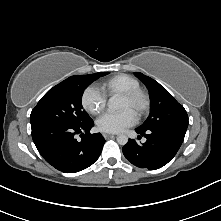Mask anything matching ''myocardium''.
<instances>
[{
  "label": "myocardium",
  "instance_id": "f54148a6",
  "mask_svg": "<svg viewBox=\"0 0 221 221\" xmlns=\"http://www.w3.org/2000/svg\"><path fill=\"white\" fill-rule=\"evenodd\" d=\"M120 98L128 101H139L140 104L135 112V115L140 118L144 116L150 108V96L141 88L127 91L120 95Z\"/></svg>",
  "mask_w": 221,
  "mask_h": 221
}]
</instances>
